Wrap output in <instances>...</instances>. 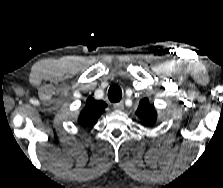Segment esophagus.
Listing matches in <instances>:
<instances>
[{"label":"esophagus","mask_w":223,"mask_h":188,"mask_svg":"<svg viewBox=\"0 0 223 188\" xmlns=\"http://www.w3.org/2000/svg\"><path fill=\"white\" fill-rule=\"evenodd\" d=\"M113 108H114L115 110H118V111L123 110V109H124V102H123V101H120V102H118V103H115V104L113 105Z\"/></svg>","instance_id":"1"}]
</instances>
